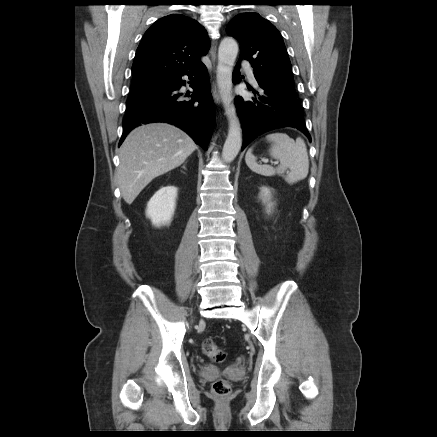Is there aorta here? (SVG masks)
Here are the masks:
<instances>
[{
  "label": "aorta",
  "mask_w": 437,
  "mask_h": 437,
  "mask_svg": "<svg viewBox=\"0 0 437 437\" xmlns=\"http://www.w3.org/2000/svg\"><path fill=\"white\" fill-rule=\"evenodd\" d=\"M237 54V42L231 37L224 38L218 50L217 84L229 121L228 136L222 151L226 163L236 158L242 146L241 126L232 96V72Z\"/></svg>",
  "instance_id": "aorta-1"
}]
</instances>
